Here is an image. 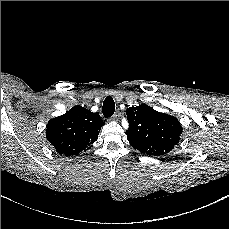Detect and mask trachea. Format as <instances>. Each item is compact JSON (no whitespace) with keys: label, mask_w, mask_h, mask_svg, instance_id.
<instances>
[{"label":"trachea","mask_w":229,"mask_h":229,"mask_svg":"<svg viewBox=\"0 0 229 229\" xmlns=\"http://www.w3.org/2000/svg\"><path fill=\"white\" fill-rule=\"evenodd\" d=\"M102 111H103L104 117L106 118H109L114 114L115 103L111 96H107L106 99L104 100Z\"/></svg>","instance_id":"trachea-1"}]
</instances>
